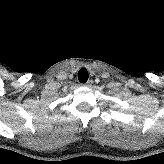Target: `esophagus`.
<instances>
[{
  "mask_svg": "<svg viewBox=\"0 0 164 164\" xmlns=\"http://www.w3.org/2000/svg\"><path fill=\"white\" fill-rule=\"evenodd\" d=\"M93 80H88L84 85L86 86V87H91L92 85H93Z\"/></svg>",
  "mask_w": 164,
  "mask_h": 164,
  "instance_id": "obj_1",
  "label": "esophagus"
}]
</instances>
